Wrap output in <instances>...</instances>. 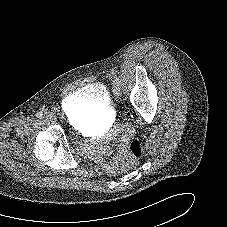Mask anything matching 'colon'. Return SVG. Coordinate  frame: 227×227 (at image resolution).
Masks as SVG:
<instances>
[{"label": "colon", "instance_id": "obj_1", "mask_svg": "<svg viewBox=\"0 0 227 227\" xmlns=\"http://www.w3.org/2000/svg\"><path fill=\"white\" fill-rule=\"evenodd\" d=\"M141 154H142L141 144L139 143V141L132 139L128 144V156L123 161L122 168L124 170L133 168Z\"/></svg>", "mask_w": 227, "mask_h": 227}]
</instances>
